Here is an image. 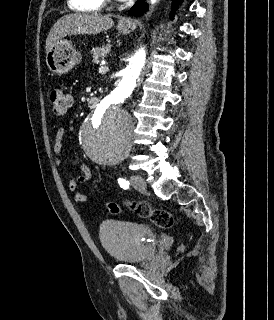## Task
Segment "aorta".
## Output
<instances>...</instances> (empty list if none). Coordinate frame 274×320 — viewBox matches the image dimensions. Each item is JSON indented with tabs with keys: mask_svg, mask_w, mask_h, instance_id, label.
<instances>
[{
	"mask_svg": "<svg viewBox=\"0 0 274 320\" xmlns=\"http://www.w3.org/2000/svg\"><path fill=\"white\" fill-rule=\"evenodd\" d=\"M157 0H150L154 4ZM146 51L140 48L123 71L122 79L91 113L81 129L85 154L96 163L123 160L131 148L132 120L124 104L136 87L145 64Z\"/></svg>",
	"mask_w": 274,
	"mask_h": 320,
	"instance_id": "obj_1",
	"label": "aorta"
}]
</instances>
